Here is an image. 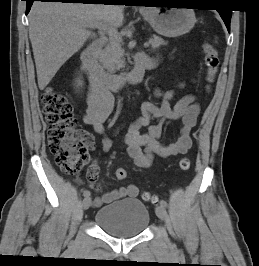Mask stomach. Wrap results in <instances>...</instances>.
I'll use <instances>...</instances> for the list:
<instances>
[{"label": "stomach", "instance_id": "1", "mask_svg": "<svg viewBox=\"0 0 259 266\" xmlns=\"http://www.w3.org/2000/svg\"><path fill=\"white\" fill-rule=\"evenodd\" d=\"M142 14L153 30L165 37L184 35L191 31L197 21L194 11L188 8L153 7Z\"/></svg>", "mask_w": 259, "mask_h": 266}]
</instances>
